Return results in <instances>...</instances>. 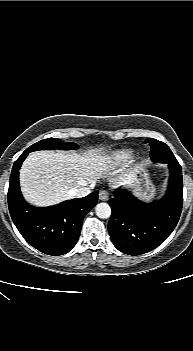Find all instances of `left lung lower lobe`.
I'll return each mask as SVG.
<instances>
[{"mask_svg": "<svg viewBox=\"0 0 193 351\" xmlns=\"http://www.w3.org/2000/svg\"><path fill=\"white\" fill-rule=\"evenodd\" d=\"M170 178L165 196L142 203L127 191L116 190L109 200L112 215L108 230L114 246L128 255H140L158 247L174 230L183 203L182 169L168 162Z\"/></svg>", "mask_w": 193, "mask_h": 351, "instance_id": "left-lung-lower-lobe-1", "label": "left lung lower lobe"}]
</instances>
